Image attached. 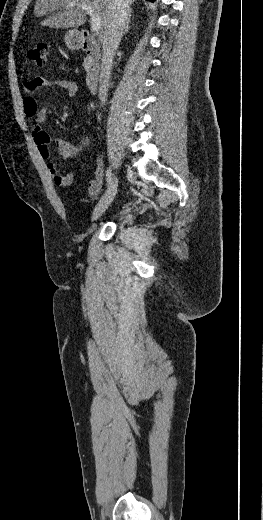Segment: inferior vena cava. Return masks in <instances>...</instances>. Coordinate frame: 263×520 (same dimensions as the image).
I'll use <instances>...</instances> for the list:
<instances>
[{
    "mask_svg": "<svg viewBox=\"0 0 263 520\" xmlns=\"http://www.w3.org/2000/svg\"><path fill=\"white\" fill-rule=\"evenodd\" d=\"M130 11V0H113L110 22L103 38L99 79V99L105 105L115 51L117 50Z\"/></svg>",
    "mask_w": 263,
    "mask_h": 520,
    "instance_id": "1",
    "label": "inferior vena cava"
}]
</instances>
